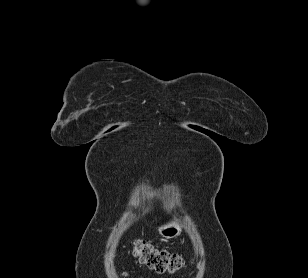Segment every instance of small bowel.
<instances>
[{"label":"small bowel","mask_w":308,"mask_h":278,"mask_svg":"<svg viewBox=\"0 0 308 278\" xmlns=\"http://www.w3.org/2000/svg\"><path fill=\"white\" fill-rule=\"evenodd\" d=\"M123 277L124 278H132L131 275L129 273H127V272L123 274Z\"/></svg>","instance_id":"c3829d8e"}]
</instances>
